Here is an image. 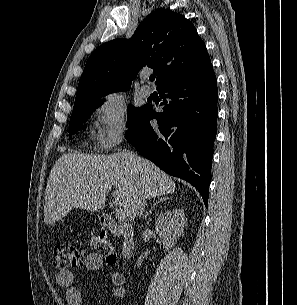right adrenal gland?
Masks as SVG:
<instances>
[{
	"label": "right adrenal gland",
	"instance_id": "2a0ac1e0",
	"mask_svg": "<svg viewBox=\"0 0 297 305\" xmlns=\"http://www.w3.org/2000/svg\"><path fill=\"white\" fill-rule=\"evenodd\" d=\"M167 199L166 196H163L161 198H158L156 200V202L150 207V209L148 210V212L146 213V215L144 216V219H146L151 213H152V210L155 209V207L160 203V202H163Z\"/></svg>",
	"mask_w": 297,
	"mask_h": 305
}]
</instances>
